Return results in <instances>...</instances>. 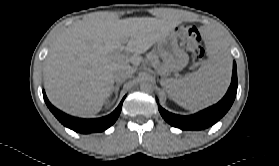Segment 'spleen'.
I'll return each instance as SVG.
<instances>
[{"label":"spleen","instance_id":"spleen-1","mask_svg":"<svg viewBox=\"0 0 279 166\" xmlns=\"http://www.w3.org/2000/svg\"><path fill=\"white\" fill-rule=\"evenodd\" d=\"M208 62L183 79L165 78L161 85L170 98L186 109L209 106L225 94L231 77V58L215 34L204 31Z\"/></svg>","mask_w":279,"mask_h":166}]
</instances>
